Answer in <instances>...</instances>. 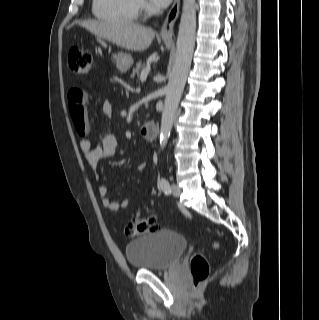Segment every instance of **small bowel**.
<instances>
[{
	"label": "small bowel",
	"mask_w": 319,
	"mask_h": 320,
	"mask_svg": "<svg viewBox=\"0 0 319 320\" xmlns=\"http://www.w3.org/2000/svg\"><path fill=\"white\" fill-rule=\"evenodd\" d=\"M87 94L79 88H72L68 94L69 112L74 123V126L83 125L86 131L89 130V121L87 115ZM102 111L104 115L110 116L113 113V104L109 100H105L102 104ZM80 150L84 156L87 164L96 169L99 162L103 159L113 157L118 151V140L113 134H106L101 139L100 143L92 146L88 139L80 141ZM141 171L146 169V165L142 164ZM98 195L101 198L103 207L108 211H118L125 209L129 203V199L121 201H114L108 197L107 188L104 185L98 187Z\"/></svg>",
	"instance_id": "1"
}]
</instances>
